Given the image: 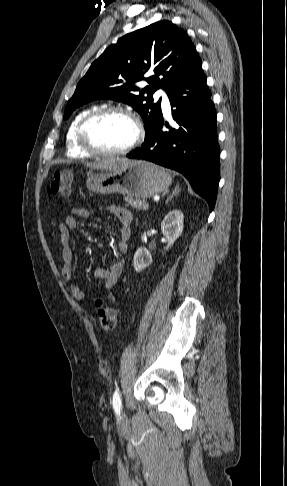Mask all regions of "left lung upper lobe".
<instances>
[{
    "label": "left lung upper lobe",
    "instance_id": "1",
    "mask_svg": "<svg viewBox=\"0 0 287 486\" xmlns=\"http://www.w3.org/2000/svg\"><path fill=\"white\" fill-rule=\"evenodd\" d=\"M198 59L187 33L170 21H159L129 33L92 63L68 101L64 119L87 102L112 99L132 106L141 115L147 131L162 117L161 99L154 103V92L159 88L167 91ZM143 79L149 85L141 89L136 82Z\"/></svg>",
    "mask_w": 287,
    "mask_h": 486
}]
</instances>
